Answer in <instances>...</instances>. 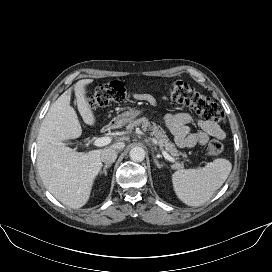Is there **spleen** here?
<instances>
[{"instance_id": "obj_1", "label": "spleen", "mask_w": 272, "mask_h": 272, "mask_svg": "<svg viewBox=\"0 0 272 272\" xmlns=\"http://www.w3.org/2000/svg\"><path fill=\"white\" fill-rule=\"evenodd\" d=\"M231 169L230 161L218 158L203 168L177 170L172 174L174 191L186 205L201 206L223 185Z\"/></svg>"}]
</instances>
